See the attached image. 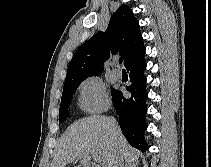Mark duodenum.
I'll return each mask as SVG.
<instances>
[{"instance_id": "410a0bca", "label": "duodenum", "mask_w": 211, "mask_h": 167, "mask_svg": "<svg viewBox=\"0 0 211 167\" xmlns=\"http://www.w3.org/2000/svg\"><path fill=\"white\" fill-rule=\"evenodd\" d=\"M86 167H98V166L95 165V164H89V165H87Z\"/></svg>"}]
</instances>
